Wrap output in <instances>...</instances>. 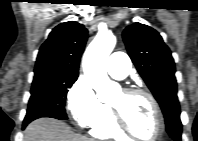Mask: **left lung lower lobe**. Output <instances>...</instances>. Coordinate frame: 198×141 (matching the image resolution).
I'll return each instance as SVG.
<instances>
[{
  "instance_id": "1",
  "label": "left lung lower lobe",
  "mask_w": 198,
  "mask_h": 141,
  "mask_svg": "<svg viewBox=\"0 0 198 141\" xmlns=\"http://www.w3.org/2000/svg\"><path fill=\"white\" fill-rule=\"evenodd\" d=\"M173 140L175 141H180L181 140V137H173V136H170Z\"/></svg>"
}]
</instances>
